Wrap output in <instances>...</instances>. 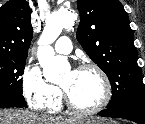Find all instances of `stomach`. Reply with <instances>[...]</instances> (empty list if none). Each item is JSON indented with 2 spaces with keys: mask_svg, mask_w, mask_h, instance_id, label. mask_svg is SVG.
Returning a JSON list of instances; mask_svg holds the SVG:
<instances>
[{
  "mask_svg": "<svg viewBox=\"0 0 145 124\" xmlns=\"http://www.w3.org/2000/svg\"><path fill=\"white\" fill-rule=\"evenodd\" d=\"M76 124H115L112 121L100 118L85 117L78 120Z\"/></svg>",
  "mask_w": 145,
  "mask_h": 124,
  "instance_id": "obj_1",
  "label": "stomach"
}]
</instances>
